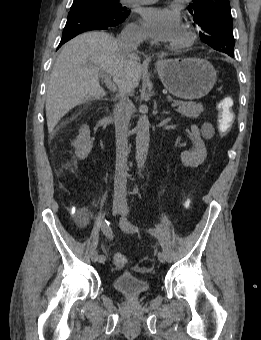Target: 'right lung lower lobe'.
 Wrapping results in <instances>:
<instances>
[{"label":"right lung lower lobe","mask_w":261,"mask_h":340,"mask_svg":"<svg viewBox=\"0 0 261 340\" xmlns=\"http://www.w3.org/2000/svg\"><path fill=\"white\" fill-rule=\"evenodd\" d=\"M124 20L107 18L88 9H71L58 48L82 32L108 29L122 23Z\"/></svg>","instance_id":"obj_1"}]
</instances>
